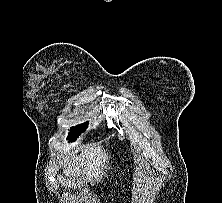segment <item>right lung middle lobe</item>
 <instances>
[{
  "label": "right lung middle lobe",
  "instance_id": "right-lung-middle-lobe-1",
  "mask_svg": "<svg viewBox=\"0 0 222 203\" xmlns=\"http://www.w3.org/2000/svg\"><path fill=\"white\" fill-rule=\"evenodd\" d=\"M88 126V122L84 123V124H80V125H77L75 127H72L70 129V133L67 137V140H69L70 142H74L76 141L77 137L86 130Z\"/></svg>",
  "mask_w": 222,
  "mask_h": 203
}]
</instances>
